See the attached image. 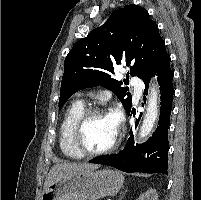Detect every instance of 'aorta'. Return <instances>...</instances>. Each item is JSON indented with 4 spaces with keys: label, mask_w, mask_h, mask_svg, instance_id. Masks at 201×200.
Listing matches in <instances>:
<instances>
[{
    "label": "aorta",
    "mask_w": 201,
    "mask_h": 200,
    "mask_svg": "<svg viewBox=\"0 0 201 200\" xmlns=\"http://www.w3.org/2000/svg\"><path fill=\"white\" fill-rule=\"evenodd\" d=\"M159 88L157 84H152L149 92L146 113L140 129V138L147 137L155 124L159 113Z\"/></svg>",
    "instance_id": "762f6f07"
}]
</instances>
